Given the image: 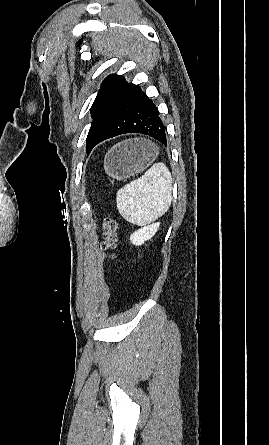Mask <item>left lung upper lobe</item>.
Masks as SVG:
<instances>
[{
  "mask_svg": "<svg viewBox=\"0 0 269 445\" xmlns=\"http://www.w3.org/2000/svg\"><path fill=\"white\" fill-rule=\"evenodd\" d=\"M127 85L120 75H109L101 85L97 97L91 107L93 121L87 136L86 152L89 154L94 140L104 128L106 122L118 104Z\"/></svg>",
  "mask_w": 269,
  "mask_h": 445,
  "instance_id": "5c2ea615",
  "label": "left lung upper lobe"
}]
</instances>
